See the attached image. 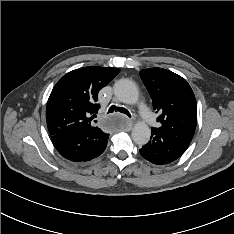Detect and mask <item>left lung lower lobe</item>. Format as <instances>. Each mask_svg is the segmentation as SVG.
Here are the masks:
<instances>
[{
    "instance_id": "1",
    "label": "left lung lower lobe",
    "mask_w": 234,
    "mask_h": 234,
    "mask_svg": "<svg viewBox=\"0 0 234 234\" xmlns=\"http://www.w3.org/2000/svg\"><path fill=\"white\" fill-rule=\"evenodd\" d=\"M183 150L165 135L152 130L150 141L140 149V154L148 161L157 164H168L179 158Z\"/></svg>"
}]
</instances>
